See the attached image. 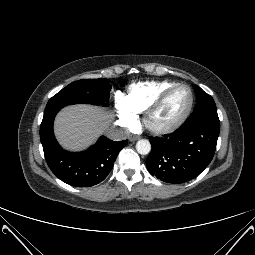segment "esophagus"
Returning <instances> with one entry per match:
<instances>
[{
  "label": "esophagus",
  "instance_id": "esophagus-1",
  "mask_svg": "<svg viewBox=\"0 0 255 255\" xmlns=\"http://www.w3.org/2000/svg\"><path fill=\"white\" fill-rule=\"evenodd\" d=\"M140 139V136H138V135H130L129 136V140L130 141H137V140H139Z\"/></svg>",
  "mask_w": 255,
  "mask_h": 255
}]
</instances>
